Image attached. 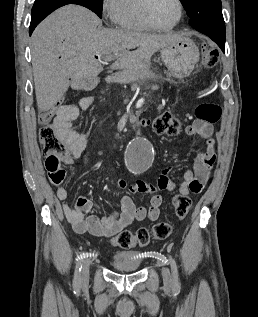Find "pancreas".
Wrapping results in <instances>:
<instances>
[{
  "instance_id": "cf45deb5",
  "label": "pancreas",
  "mask_w": 258,
  "mask_h": 317,
  "mask_svg": "<svg viewBox=\"0 0 258 317\" xmlns=\"http://www.w3.org/2000/svg\"><path fill=\"white\" fill-rule=\"evenodd\" d=\"M113 80L112 78L110 79ZM157 80L151 77H117V84H128L132 89H135L136 93H141L142 89H151V83H155ZM146 83V84H144ZM155 87L154 85L152 86Z\"/></svg>"
}]
</instances>
